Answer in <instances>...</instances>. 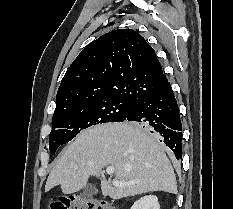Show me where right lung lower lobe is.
Here are the masks:
<instances>
[{"label":"right lung lower lobe","mask_w":233,"mask_h":209,"mask_svg":"<svg viewBox=\"0 0 233 209\" xmlns=\"http://www.w3.org/2000/svg\"><path fill=\"white\" fill-rule=\"evenodd\" d=\"M124 121L141 123L160 137V142L165 143L177 159H182V124L169 82L155 93L138 99Z\"/></svg>","instance_id":"obj_1"}]
</instances>
